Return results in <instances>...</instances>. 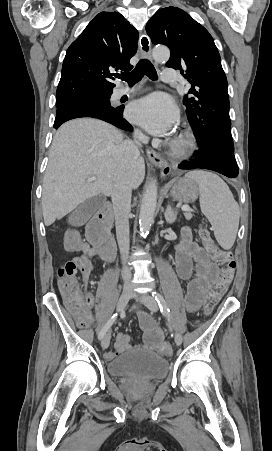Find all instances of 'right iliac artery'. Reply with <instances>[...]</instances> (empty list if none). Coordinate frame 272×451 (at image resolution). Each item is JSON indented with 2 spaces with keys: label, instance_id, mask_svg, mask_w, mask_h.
<instances>
[{
  "label": "right iliac artery",
  "instance_id": "right-iliac-artery-1",
  "mask_svg": "<svg viewBox=\"0 0 272 451\" xmlns=\"http://www.w3.org/2000/svg\"><path fill=\"white\" fill-rule=\"evenodd\" d=\"M117 317H118V313H115L111 316V318L108 320L105 327L100 331L99 336H98L99 339H102L104 334L110 329L112 324L116 321Z\"/></svg>",
  "mask_w": 272,
  "mask_h": 451
}]
</instances>
